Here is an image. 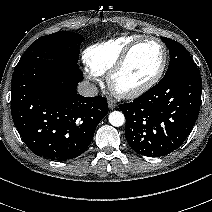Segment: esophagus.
<instances>
[{
    "instance_id": "esophagus-1",
    "label": "esophagus",
    "mask_w": 212,
    "mask_h": 212,
    "mask_svg": "<svg viewBox=\"0 0 212 212\" xmlns=\"http://www.w3.org/2000/svg\"><path fill=\"white\" fill-rule=\"evenodd\" d=\"M108 106H109L110 109H114L116 107V103L113 100H109Z\"/></svg>"
}]
</instances>
